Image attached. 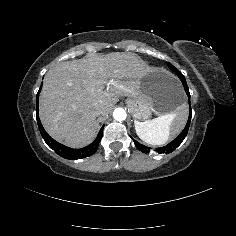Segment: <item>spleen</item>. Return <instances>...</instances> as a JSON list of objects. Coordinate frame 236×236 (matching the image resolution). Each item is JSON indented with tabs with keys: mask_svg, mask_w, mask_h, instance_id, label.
I'll return each instance as SVG.
<instances>
[{
	"mask_svg": "<svg viewBox=\"0 0 236 236\" xmlns=\"http://www.w3.org/2000/svg\"><path fill=\"white\" fill-rule=\"evenodd\" d=\"M179 115L180 112H175L145 122L136 121L135 129L137 135L149 145L160 146L167 144L170 140L173 123Z\"/></svg>",
	"mask_w": 236,
	"mask_h": 236,
	"instance_id": "obj_1",
	"label": "spleen"
}]
</instances>
